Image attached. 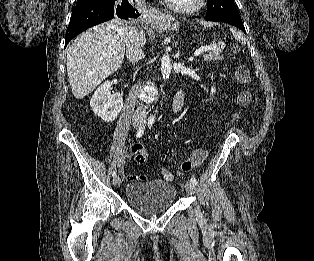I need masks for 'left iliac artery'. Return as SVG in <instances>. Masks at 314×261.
Wrapping results in <instances>:
<instances>
[{"mask_svg": "<svg viewBox=\"0 0 314 261\" xmlns=\"http://www.w3.org/2000/svg\"><path fill=\"white\" fill-rule=\"evenodd\" d=\"M154 118H150L148 121V127L151 128L152 125L154 124ZM191 181L193 182L194 185H198V181L196 180V178L194 176L191 177Z\"/></svg>", "mask_w": 314, "mask_h": 261, "instance_id": "left-iliac-artery-1", "label": "left iliac artery"}]
</instances>
